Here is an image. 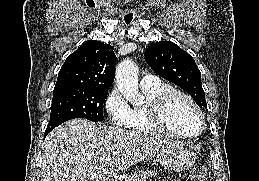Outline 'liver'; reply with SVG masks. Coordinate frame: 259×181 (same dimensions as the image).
Wrapping results in <instances>:
<instances>
[{"mask_svg":"<svg viewBox=\"0 0 259 181\" xmlns=\"http://www.w3.org/2000/svg\"><path fill=\"white\" fill-rule=\"evenodd\" d=\"M172 143L86 119L70 120L45 139L41 181H106Z\"/></svg>","mask_w":259,"mask_h":181,"instance_id":"liver-1","label":"liver"}]
</instances>
